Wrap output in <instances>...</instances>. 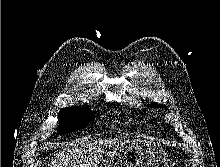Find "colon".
<instances>
[{
    "label": "colon",
    "mask_w": 220,
    "mask_h": 167,
    "mask_svg": "<svg viewBox=\"0 0 220 167\" xmlns=\"http://www.w3.org/2000/svg\"><path fill=\"white\" fill-rule=\"evenodd\" d=\"M169 167H178L177 165H170Z\"/></svg>",
    "instance_id": "colon-1"
}]
</instances>
